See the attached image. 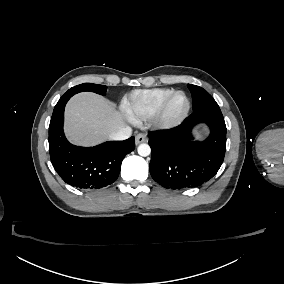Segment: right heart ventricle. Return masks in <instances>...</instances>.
<instances>
[{
  "label": "right heart ventricle",
  "mask_w": 284,
  "mask_h": 284,
  "mask_svg": "<svg viewBox=\"0 0 284 284\" xmlns=\"http://www.w3.org/2000/svg\"><path fill=\"white\" fill-rule=\"evenodd\" d=\"M174 91L168 87L137 89L122 98V113L132 122L145 121L151 117L161 100Z\"/></svg>",
  "instance_id": "right-heart-ventricle-1"
}]
</instances>
